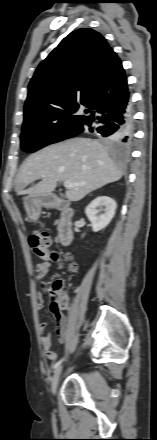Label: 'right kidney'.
Instances as JSON below:
<instances>
[{
  "label": "right kidney",
  "instance_id": "1",
  "mask_svg": "<svg viewBox=\"0 0 157 440\" xmlns=\"http://www.w3.org/2000/svg\"><path fill=\"white\" fill-rule=\"evenodd\" d=\"M116 208L115 200L108 196H99L86 207L85 213L91 222L93 232H98L109 225ZM101 211L104 213L98 215Z\"/></svg>",
  "mask_w": 157,
  "mask_h": 440
}]
</instances>
